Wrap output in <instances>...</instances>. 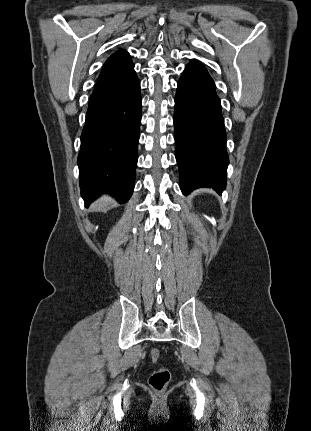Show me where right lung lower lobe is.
<instances>
[{"mask_svg": "<svg viewBox=\"0 0 311 431\" xmlns=\"http://www.w3.org/2000/svg\"><path fill=\"white\" fill-rule=\"evenodd\" d=\"M140 81L134 65L98 80L90 97L78 155L86 206L108 192L125 203L134 190L141 121Z\"/></svg>", "mask_w": 311, "mask_h": 431, "instance_id": "98d812e1", "label": "right lung lower lobe"}]
</instances>
